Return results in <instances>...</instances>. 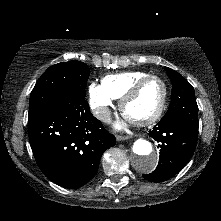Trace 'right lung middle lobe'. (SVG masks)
Here are the masks:
<instances>
[{
    "label": "right lung middle lobe",
    "instance_id": "obj_1",
    "mask_svg": "<svg viewBox=\"0 0 221 221\" xmlns=\"http://www.w3.org/2000/svg\"><path fill=\"white\" fill-rule=\"evenodd\" d=\"M89 75V67L80 61L72 60L49 67L31 92L28 123L69 95L85 98Z\"/></svg>",
    "mask_w": 221,
    "mask_h": 221
}]
</instances>
